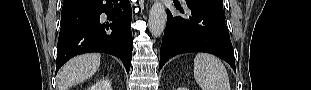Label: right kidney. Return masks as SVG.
<instances>
[{
  "label": "right kidney",
  "mask_w": 311,
  "mask_h": 90,
  "mask_svg": "<svg viewBox=\"0 0 311 90\" xmlns=\"http://www.w3.org/2000/svg\"><path fill=\"white\" fill-rule=\"evenodd\" d=\"M88 90H112V88L109 80L103 79L96 82V84L88 88Z\"/></svg>",
  "instance_id": "obj_1"
}]
</instances>
